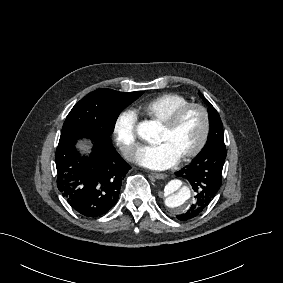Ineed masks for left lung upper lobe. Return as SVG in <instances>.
<instances>
[{"label":"left lung upper lobe","mask_w":283,"mask_h":283,"mask_svg":"<svg viewBox=\"0 0 283 283\" xmlns=\"http://www.w3.org/2000/svg\"><path fill=\"white\" fill-rule=\"evenodd\" d=\"M199 95L204 100V102L207 103V105L209 106L208 112H209V119H210V132H209L207 143L224 142L223 125H222L218 112L201 93H199Z\"/></svg>","instance_id":"left-lung-upper-lobe-1"}]
</instances>
